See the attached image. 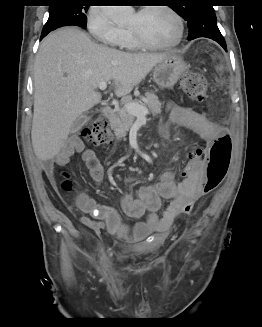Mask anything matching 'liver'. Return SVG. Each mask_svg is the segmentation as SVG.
Instances as JSON below:
<instances>
[{
    "instance_id": "1",
    "label": "liver",
    "mask_w": 262,
    "mask_h": 327,
    "mask_svg": "<svg viewBox=\"0 0 262 327\" xmlns=\"http://www.w3.org/2000/svg\"><path fill=\"white\" fill-rule=\"evenodd\" d=\"M168 56L99 45L76 27L49 34L34 64L31 139L36 157L47 161L60 152L73 122L100 102L99 83L112 80L115 94L127 95Z\"/></svg>"
}]
</instances>
